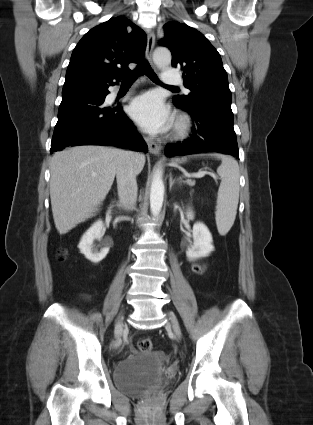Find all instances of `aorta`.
I'll return each mask as SVG.
<instances>
[{
  "mask_svg": "<svg viewBox=\"0 0 313 425\" xmlns=\"http://www.w3.org/2000/svg\"><path fill=\"white\" fill-rule=\"evenodd\" d=\"M171 52L167 48H157L153 53V61L160 69L168 67L171 63ZM162 171L157 169L154 172L150 189V210L154 217H157L162 209L165 187L162 179Z\"/></svg>",
  "mask_w": 313,
  "mask_h": 425,
  "instance_id": "762f6f07",
  "label": "aorta"
}]
</instances>
